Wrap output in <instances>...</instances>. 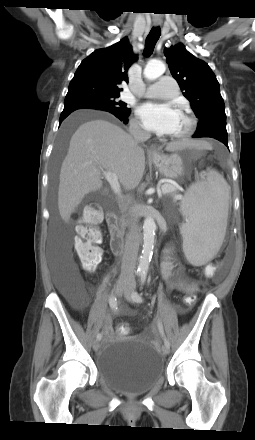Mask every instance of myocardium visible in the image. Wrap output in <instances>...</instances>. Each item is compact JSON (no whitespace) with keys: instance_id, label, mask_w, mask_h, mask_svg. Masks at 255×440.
<instances>
[{"instance_id":"obj_1","label":"myocardium","mask_w":255,"mask_h":440,"mask_svg":"<svg viewBox=\"0 0 255 440\" xmlns=\"http://www.w3.org/2000/svg\"><path fill=\"white\" fill-rule=\"evenodd\" d=\"M180 113H182V115L186 118L187 126L180 133L172 135V138L178 140L189 137L194 132L197 126V121L195 117L191 114V112L187 108L185 107L181 108Z\"/></svg>"}]
</instances>
